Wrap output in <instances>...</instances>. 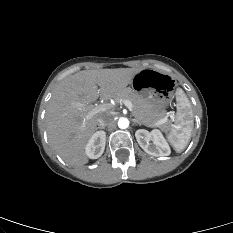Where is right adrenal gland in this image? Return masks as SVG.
<instances>
[{"mask_svg": "<svg viewBox=\"0 0 233 233\" xmlns=\"http://www.w3.org/2000/svg\"><path fill=\"white\" fill-rule=\"evenodd\" d=\"M97 129H102V130H104V129H105V127H101V126H99V127H97Z\"/></svg>", "mask_w": 233, "mask_h": 233, "instance_id": "right-adrenal-gland-1", "label": "right adrenal gland"}]
</instances>
